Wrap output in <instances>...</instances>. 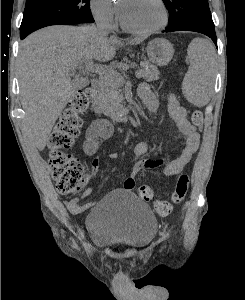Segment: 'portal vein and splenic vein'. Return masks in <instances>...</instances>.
<instances>
[{
	"label": "portal vein and splenic vein",
	"instance_id": "obj_1",
	"mask_svg": "<svg viewBox=\"0 0 245 300\" xmlns=\"http://www.w3.org/2000/svg\"><path fill=\"white\" fill-rule=\"evenodd\" d=\"M85 70L88 72H95L100 75H105L108 72H110L112 69L106 68L102 65H95L92 61H90V62L85 63ZM135 76L138 78L141 77V72L136 71Z\"/></svg>",
	"mask_w": 245,
	"mask_h": 300
}]
</instances>
